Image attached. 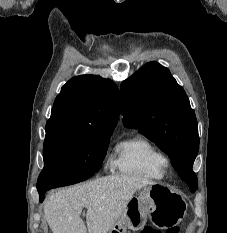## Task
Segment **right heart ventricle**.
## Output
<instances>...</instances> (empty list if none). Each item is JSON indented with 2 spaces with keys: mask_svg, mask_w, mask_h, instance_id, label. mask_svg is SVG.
<instances>
[{
  "mask_svg": "<svg viewBox=\"0 0 227 233\" xmlns=\"http://www.w3.org/2000/svg\"><path fill=\"white\" fill-rule=\"evenodd\" d=\"M111 164L123 174L160 180L166 174L168 159L146 136L137 134L116 145Z\"/></svg>",
  "mask_w": 227,
  "mask_h": 233,
  "instance_id": "right-heart-ventricle-1",
  "label": "right heart ventricle"
}]
</instances>
